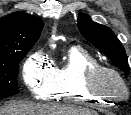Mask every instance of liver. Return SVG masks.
Here are the masks:
<instances>
[{
  "mask_svg": "<svg viewBox=\"0 0 131 115\" xmlns=\"http://www.w3.org/2000/svg\"><path fill=\"white\" fill-rule=\"evenodd\" d=\"M0 115H97V113L83 107L11 101L0 107Z\"/></svg>",
  "mask_w": 131,
  "mask_h": 115,
  "instance_id": "obj_1",
  "label": "liver"
}]
</instances>
